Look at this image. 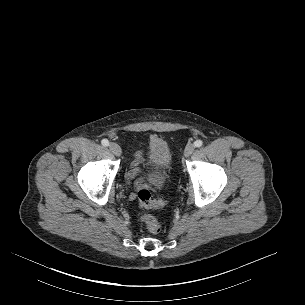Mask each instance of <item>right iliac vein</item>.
I'll list each match as a JSON object with an SVG mask.
<instances>
[{
	"label": "right iliac vein",
	"instance_id": "right-iliac-vein-1",
	"mask_svg": "<svg viewBox=\"0 0 305 305\" xmlns=\"http://www.w3.org/2000/svg\"><path fill=\"white\" fill-rule=\"evenodd\" d=\"M109 149L110 151L116 155V156H120L121 155V148L118 144L116 143H110L109 145Z\"/></svg>",
	"mask_w": 305,
	"mask_h": 305
}]
</instances>
